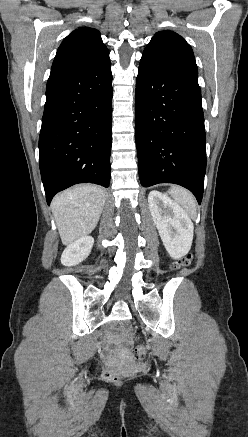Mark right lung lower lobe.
Returning <instances> with one entry per match:
<instances>
[{
    "instance_id": "right-lung-lower-lobe-1",
    "label": "right lung lower lobe",
    "mask_w": 248,
    "mask_h": 437,
    "mask_svg": "<svg viewBox=\"0 0 248 437\" xmlns=\"http://www.w3.org/2000/svg\"><path fill=\"white\" fill-rule=\"evenodd\" d=\"M110 61L87 70L51 71L39 136L46 200L77 183H110Z\"/></svg>"
}]
</instances>
